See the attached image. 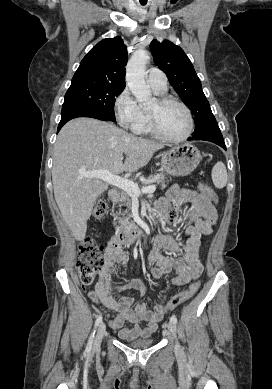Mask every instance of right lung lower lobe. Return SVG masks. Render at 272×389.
<instances>
[{
	"label": "right lung lower lobe",
	"mask_w": 272,
	"mask_h": 389,
	"mask_svg": "<svg viewBox=\"0 0 272 389\" xmlns=\"http://www.w3.org/2000/svg\"><path fill=\"white\" fill-rule=\"evenodd\" d=\"M77 117H91V118H96L99 120L103 121H111L106 117L101 116L100 114L96 112H92L86 109H80V108H69V109H64L61 111V121L59 123L57 132L62 128V126L68 122L69 120Z\"/></svg>",
	"instance_id": "98d812e1"
}]
</instances>
